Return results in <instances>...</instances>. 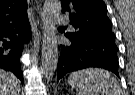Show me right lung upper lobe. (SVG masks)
<instances>
[{
	"instance_id": "1",
	"label": "right lung upper lobe",
	"mask_w": 135,
	"mask_h": 95,
	"mask_svg": "<svg viewBox=\"0 0 135 95\" xmlns=\"http://www.w3.org/2000/svg\"><path fill=\"white\" fill-rule=\"evenodd\" d=\"M27 17V0H0V22L18 21Z\"/></svg>"
}]
</instances>
